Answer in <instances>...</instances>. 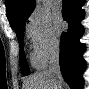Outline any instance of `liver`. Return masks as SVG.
I'll list each match as a JSON object with an SVG mask.
<instances>
[{"label": "liver", "mask_w": 89, "mask_h": 89, "mask_svg": "<svg viewBox=\"0 0 89 89\" xmlns=\"http://www.w3.org/2000/svg\"><path fill=\"white\" fill-rule=\"evenodd\" d=\"M61 79L47 72L31 75L24 84V89H61ZM60 87V88H57Z\"/></svg>", "instance_id": "liver-1"}]
</instances>
